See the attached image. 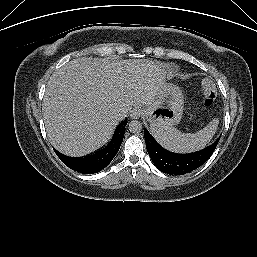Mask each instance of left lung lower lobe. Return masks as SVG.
Masks as SVG:
<instances>
[{"instance_id":"obj_1","label":"left lung lower lobe","mask_w":257,"mask_h":257,"mask_svg":"<svg viewBox=\"0 0 257 257\" xmlns=\"http://www.w3.org/2000/svg\"><path fill=\"white\" fill-rule=\"evenodd\" d=\"M148 154L154 165L163 173L183 175L203 165L213 154L220 137L209 147L195 153H173L160 146L154 137L144 130Z\"/></svg>"}]
</instances>
